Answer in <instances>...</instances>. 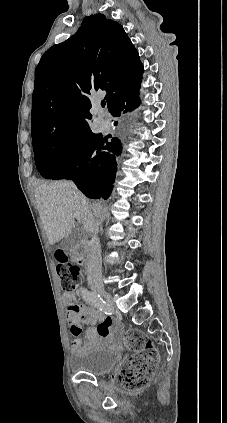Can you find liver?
Returning a JSON list of instances; mask_svg holds the SVG:
<instances>
[{"mask_svg": "<svg viewBox=\"0 0 227 423\" xmlns=\"http://www.w3.org/2000/svg\"><path fill=\"white\" fill-rule=\"evenodd\" d=\"M82 200L86 198L73 182H51L35 188L37 210L50 245L71 233L75 219L84 221Z\"/></svg>", "mask_w": 227, "mask_h": 423, "instance_id": "6515ba94", "label": "liver"}]
</instances>
